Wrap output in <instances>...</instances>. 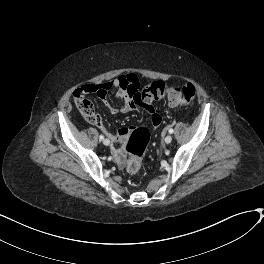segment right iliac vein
<instances>
[{
	"label": "right iliac vein",
	"mask_w": 264,
	"mask_h": 264,
	"mask_svg": "<svg viewBox=\"0 0 264 264\" xmlns=\"http://www.w3.org/2000/svg\"><path fill=\"white\" fill-rule=\"evenodd\" d=\"M103 144H104L105 146H108V145L110 144V141H109L108 139H104V140H103Z\"/></svg>",
	"instance_id": "63e3f726"
}]
</instances>
